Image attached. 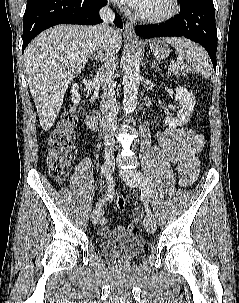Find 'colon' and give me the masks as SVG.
I'll return each mask as SVG.
<instances>
[{
    "label": "colon",
    "instance_id": "colon-1",
    "mask_svg": "<svg viewBox=\"0 0 239 303\" xmlns=\"http://www.w3.org/2000/svg\"><path fill=\"white\" fill-rule=\"evenodd\" d=\"M76 125V116L73 110L64 113L51 131L47 143L45 163L49 174L57 181L64 179L65 172L71 161L73 135ZM116 207L122 211L126 207V199L122 196L116 200ZM139 227L140 220H135Z\"/></svg>",
    "mask_w": 239,
    "mask_h": 303
}]
</instances>
